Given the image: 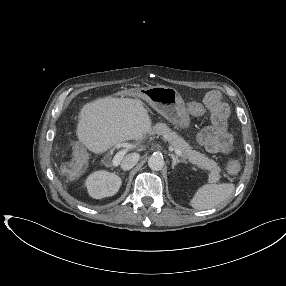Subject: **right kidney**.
<instances>
[{"label":"right kidney","instance_id":"ca27d5eb","mask_svg":"<svg viewBox=\"0 0 286 286\" xmlns=\"http://www.w3.org/2000/svg\"><path fill=\"white\" fill-rule=\"evenodd\" d=\"M122 180L114 173L105 170L95 171L86 180V187L89 195L95 199H102L115 195Z\"/></svg>","mask_w":286,"mask_h":286}]
</instances>
